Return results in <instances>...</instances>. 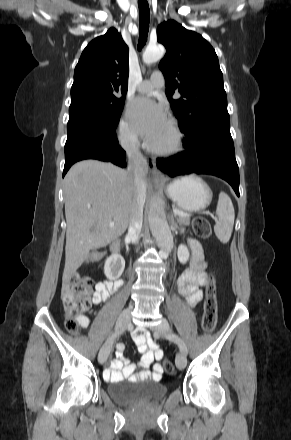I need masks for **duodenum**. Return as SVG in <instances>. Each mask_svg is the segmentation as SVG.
<instances>
[{"label":"duodenum","instance_id":"duodenum-1","mask_svg":"<svg viewBox=\"0 0 291 440\" xmlns=\"http://www.w3.org/2000/svg\"><path fill=\"white\" fill-rule=\"evenodd\" d=\"M122 249V243L120 241H116L111 246V251L115 256H120Z\"/></svg>","mask_w":291,"mask_h":440}]
</instances>
